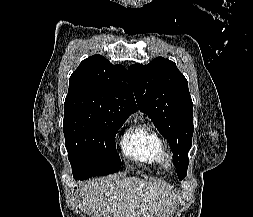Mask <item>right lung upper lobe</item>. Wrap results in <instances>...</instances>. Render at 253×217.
<instances>
[{
  "instance_id": "right-lung-upper-lobe-1",
  "label": "right lung upper lobe",
  "mask_w": 253,
  "mask_h": 217,
  "mask_svg": "<svg viewBox=\"0 0 253 217\" xmlns=\"http://www.w3.org/2000/svg\"><path fill=\"white\" fill-rule=\"evenodd\" d=\"M135 109L130 77L124 66L93 55L83 60L70 76L64 113L80 112L126 120Z\"/></svg>"
}]
</instances>
